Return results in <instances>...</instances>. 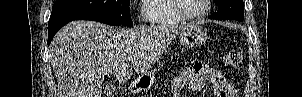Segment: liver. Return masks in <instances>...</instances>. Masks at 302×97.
<instances>
[{
    "label": "liver",
    "mask_w": 302,
    "mask_h": 97,
    "mask_svg": "<svg viewBox=\"0 0 302 97\" xmlns=\"http://www.w3.org/2000/svg\"><path fill=\"white\" fill-rule=\"evenodd\" d=\"M185 27L178 25L113 28L73 21L53 38L49 59L57 78V97H101L105 75L124 83L133 69L146 74ZM135 57L132 66L129 57Z\"/></svg>",
    "instance_id": "obj_1"
}]
</instances>
